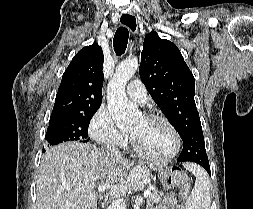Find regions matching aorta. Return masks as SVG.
Here are the masks:
<instances>
[{
	"label": "aorta",
	"instance_id": "1",
	"mask_svg": "<svg viewBox=\"0 0 253 209\" xmlns=\"http://www.w3.org/2000/svg\"><path fill=\"white\" fill-rule=\"evenodd\" d=\"M139 67L136 58L121 62L115 70L107 87V105L109 112L120 129L130 126L139 115L138 107L126 96V85Z\"/></svg>",
	"mask_w": 253,
	"mask_h": 209
}]
</instances>
